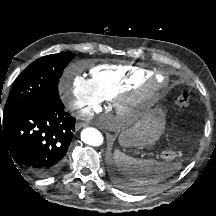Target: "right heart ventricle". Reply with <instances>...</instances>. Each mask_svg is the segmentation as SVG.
I'll return each mask as SVG.
<instances>
[{
    "instance_id": "1",
    "label": "right heart ventricle",
    "mask_w": 216,
    "mask_h": 216,
    "mask_svg": "<svg viewBox=\"0 0 216 216\" xmlns=\"http://www.w3.org/2000/svg\"><path fill=\"white\" fill-rule=\"evenodd\" d=\"M150 70L129 64H99L90 69V80L101 98L126 93L152 78Z\"/></svg>"
}]
</instances>
